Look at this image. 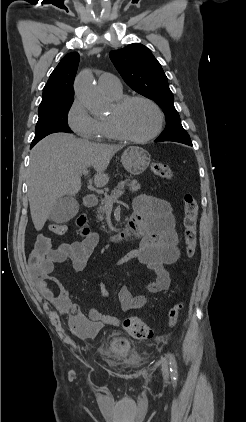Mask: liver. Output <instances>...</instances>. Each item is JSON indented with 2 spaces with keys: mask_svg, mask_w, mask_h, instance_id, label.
Listing matches in <instances>:
<instances>
[{
  "mask_svg": "<svg viewBox=\"0 0 246 422\" xmlns=\"http://www.w3.org/2000/svg\"><path fill=\"white\" fill-rule=\"evenodd\" d=\"M121 145L92 143L74 135L55 133L41 140L31 151L28 169V199L34 227L40 231L56 201L64 195H76L81 175L88 167L96 171L94 184L109 182L105 173Z\"/></svg>",
  "mask_w": 246,
  "mask_h": 422,
  "instance_id": "obj_1",
  "label": "liver"
}]
</instances>
